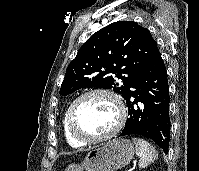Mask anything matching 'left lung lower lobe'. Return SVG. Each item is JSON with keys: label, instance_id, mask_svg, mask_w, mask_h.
I'll return each instance as SVG.
<instances>
[{"label": "left lung lower lobe", "instance_id": "0a47b994", "mask_svg": "<svg viewBox=\"0 0 199 171\" xmlns=\"http://www.w3.org/2000/svg\"><path fill=\"white\" fill-rule=\"evenodd\" d=\"M124 99L128 119L119 136L142 135L168 152L170 141L169 86L159 49L138 72Z\"/></svg>", "mask_w": 199, "mask_h": 171}]
</instances>
